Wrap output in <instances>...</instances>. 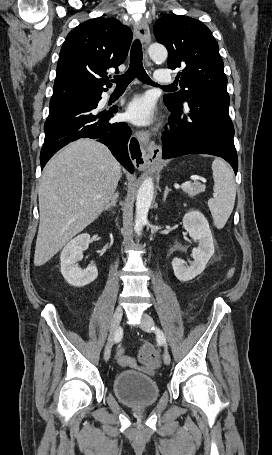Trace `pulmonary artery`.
<instances>
[{
    "mask_svg": "<svg viewBox=\"0 0 272 455\" xmlns=\"http://www.w3.org/2000/svg\"><path fill=\"white\" fill-rule=\"evenodd\" d=\"M155 81L159 84H167L173 82V77L166 70H158L155 73Z\"/></svg>",
    "mask_w": 272,
    "mask_h": 455,
    "instance_id": "pulmonary-artery-1",
    "label": "pulmonary artery"
}]
</instances>
